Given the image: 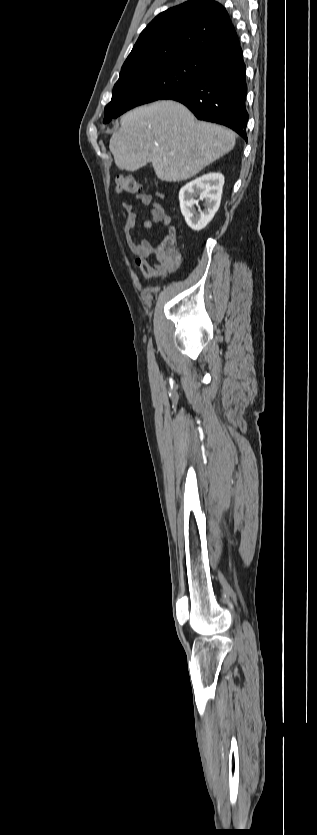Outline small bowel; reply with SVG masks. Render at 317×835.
Instances as JSON below:
<instances>
[{
    "instance_id": "obj_1",
    "label": "small bowel",
    "mask_w": 317,
    "mask_h": 835,
    "mask_svg": "<svg viewBox=\"0 0 317 835\" xmlns=\"http://www.w3.org/2000/svg\"><path fill=\"white\" fill-rule=\"evenodd\" d=\"M156 195L158 198H163V194L160 192ZM136 199L143 206L151 207V218L145 219L142 223L145 229H151L156 223L163 225H169L171 223L172 219L169 213L153 199L152 195L141 193L136 196ZM123 207L126 212L123 233L126 244L135 257L136 267L150 280L163 279L168 274L174 272L180 264L179 256L176 259H171L165 256L160 248L153 247L148 239L143 238L137 240L134 236V231L137 227V214L134 212L131 203H124ZM152 256L155 258L154 261L151 260Z\"/></svg>"
}]
</instances>
